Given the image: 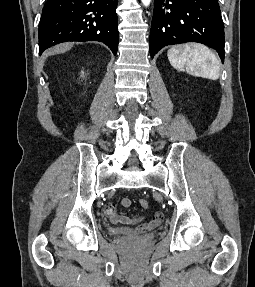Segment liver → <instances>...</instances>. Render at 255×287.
<instances>
[{
  "label": "liver",
  "mask_w": 255,
  "mask_h": 287,
  "mask_svg": "<svg viewBox=\"0 0 255 287\" xmlns=\"http://www.w3.org/2000/svg\"><path fill=\"white\" fill-rule=\"evenodd\" d=\"M73 44L72 42H67V44H59V46H54V48H50L48 52H45L46 56H51V54H64V52H68L71 50Z\"/></svg>",
  "instance_id": "obj_1"
}]
</instances>
